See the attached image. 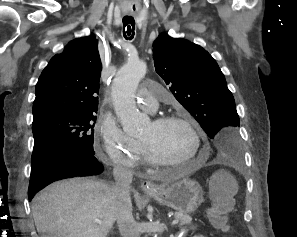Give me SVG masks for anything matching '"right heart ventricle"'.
Segmentation results:
<instances>
[{"label": "right heart ventricle", "instance_id": "right-heart-ventricle-1", "mask_svg": "<svg viewBox=\"0 0 297 237\" xmlns=\"http://www.w3.org/2000/svg\"><path fill=\"white\" fill-rule=\"evenodd\" d=\"M141 156L144 161H147V158H146L143 148L141 149Z\"/></svg>", "mask_w": 297, "mask_h": 237}]
</instances>
